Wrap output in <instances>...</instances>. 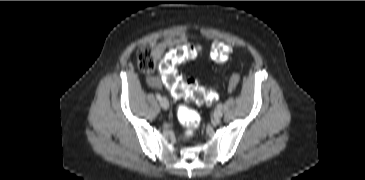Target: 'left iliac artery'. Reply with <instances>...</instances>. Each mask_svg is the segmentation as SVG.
Listing matches in <instances>:
<instances>
[{
    "label": "left iliac artery",
    "instance_id": "obj_1",
    "mask_svg": "<svg viewBox=\"0 0 365 180\" xmlns=\"http://www.w3.org/2000/svg\"><path fill=\"white\" fill-rule=\"evenodd\" d=\"M217 108H218V109H222V105H221V104H218V105H217Z\"/></svg>",
    "mask_w": 365,
    "mask_h": 180
}]
</instances>
